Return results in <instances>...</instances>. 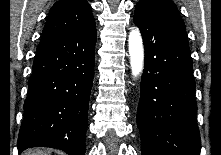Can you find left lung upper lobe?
I'll list each match as a JSON object with an SVG mask.
<instances>
[{"label":"left lung upper lobe","mask_w":221,"mask_h":155,"mask_svg":"<svg viewBox=\"0 0 221 155\" xmlns=\"http://www.w3.org/2000/svg\"><path fill=\"white\" fill-rule=\"evenodd\" d=\"M136 7L148 11L153 16L185 28L176 5L171 0H139Z\"/></svg>","instance_id":"left-lung-upper-lobe-1"}]
</instances>
